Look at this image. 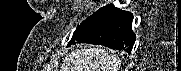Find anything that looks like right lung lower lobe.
<instances>
[{
    "mask_svg": "<svg viewBox=\"0 0 181 71\" xmlns=\"http://www.w3.org/2000/svg\"><path fill=\"white\" fill-rule=\"evenodd\" d=\"M132 19L131 13L111 4L102 7L77 27L68 46L76 42L90 43L130 53L136 39Z\"/></svg>",
    "mask_w": 181,
    "mask_h": 71,
    "instance_id": "obj_1",
    "label": "right lung lower lobe"
}]
</instances>
